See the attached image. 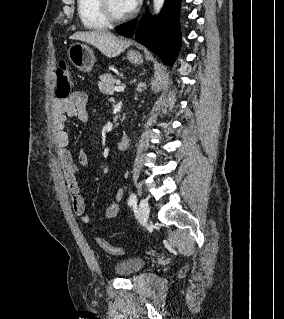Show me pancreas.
<instances>
[{
  "instance_id": "pancreas-1",
  "label": "pancreas",
  "mask_w": 284,
  "mask_h": 319,
  "mask_svg": "<svg viewBox=\"0 0 284 319\" xmlns=\"http://www.w3.org/2000/svg\"><path fill=\"white\" fill-rule=\"evenodd\" d=\"M100 81L98 82V87L101 93L112 95L114 93L115 85L119 83V80L116 79L111 74L101 75Z\"/></svg>"
}]
</instances>
